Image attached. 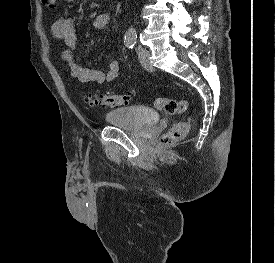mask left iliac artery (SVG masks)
<instances>
[{"label": "left iliac artery", "mask_w": 275, "mask_h": 263, "mask_svg": "<svg viewBox=\"0 0 275 263\" xmlns=\"http://www.w3.org/2000/svg\"><path fill=\"white\" fill-rule=\"evenodd\" d=\"M137 41V34L134 28H129L126 33H125V37H124V42L125 45L132 49L134 47V45L136 44Z\"/></svg>", "instance_id": "1"}]
</instances>
